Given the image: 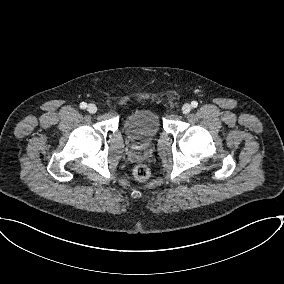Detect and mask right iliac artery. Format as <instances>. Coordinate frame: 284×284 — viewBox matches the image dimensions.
<instances>
[{
  "instance_id": "right-iliac-artery-1",
  "label": "right iliac artery",
  "mask_w": 284,
  "mask_h": 284,
  "mask_svg": "<svg viewBox=\"0 0 284 284\" xmlns=\"http://www.w3.org/2000/svg\"><path fill=\"white\" fill-rule=\"evenodd\" d=\"M87 107V104L85 102L80 103V108L85 109Z\"/></svg>"
}]
</instances>
